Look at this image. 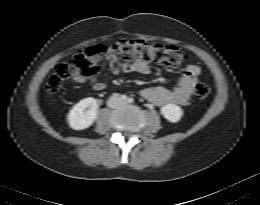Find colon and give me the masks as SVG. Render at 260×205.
Here are the masks:
<instances>
[{"mask_svg": "<svg viewBox=\"0 0 260 205\" xmlns=\"http://www.w3.org/2000/svg\"><path fill=\"white\" fill-rule=\"evenodd\" d=\"M109 51L122 61L141 59L169 67H179L187 60V54L173 45L151 44L136 39L116 41L109 47L95 45L75 55L69 62L57 65L47 81V92L57 93L63 83L69 80H86L97 76L100 72L99 63ZM194 94L198 99H205L210 94L209 85L204 82L196 84Z\"/></svg>", "mask_w": 260, "mask_h": 205, "instance_id": "colon-1", "label": "colon"}]
</instances>
